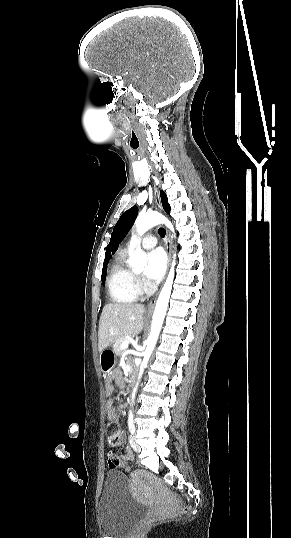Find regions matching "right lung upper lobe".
<instances>
[{
	"instance_id": "cb5924a9",
	"label": "right lung upper lobe",
	"mask_w": 291,
	"mask_h": 538,
	"mask_svg": "<svg viewBox=\"0 0 291 538\" xmlns=\"http://www.w3.org/2000/svg\"><path fill=\"white\" fill-rule=\"evenodd\" d=\"M111 252H112V244H111V241H110L109 245H108L107 248H106L105 260H104V262L109 261Z\"/></svg>"
}]
</instances>
